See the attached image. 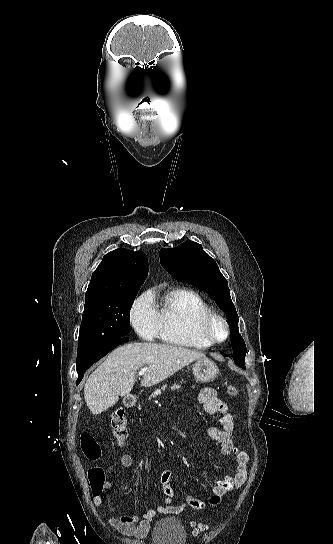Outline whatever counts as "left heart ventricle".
<instances>
[{
  "mask_svg": "<svg viewBox=\"0 0 333 544\" xmlns=\"http://www.w3.org/2000/svg\"><path fill=\"white\" fill-rule=\"evenodd\" d=\"M214 333L218 338H222L224 336V329L220 324H216L214 326Z\"/></svg>",
  "mask_w": 333,
  "mask_h": 544,
  "instance_id": "obj_1",
  "label": "left heart ventricle"
}]
</instances>
